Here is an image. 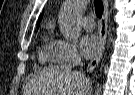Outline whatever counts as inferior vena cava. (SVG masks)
Listing matches in <instances>:
<instances>
[{"mask_svg": "<svg viewBox=\"0 0 135 95\" xmlns=\"http://www.w3.org/2000/svg\"><path fill=\"white\" fill-rule=\"evenodd\" d=\"M73 65L83 66V63L81 61V57L79 55L75 56V58L73 60Z\"/></svg>", "mask_w": 135, "mask_h": 95, "instance_id": "obj_1", "label": "inferior vena cava"}]
</instances>
